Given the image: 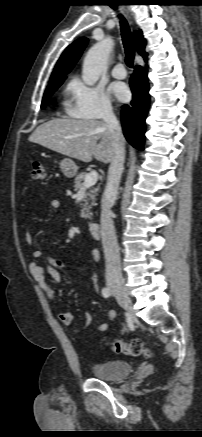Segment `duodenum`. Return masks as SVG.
I'll list each match as a JSON object with an SVG mask.
<instances>
[{"mask_svg": "<svg viewBox=\"0 0 202 437\" xmlns=\"http://www.w3.org/2000/svg\"><path fill=\"white\" fill-rule=\"evenodd\" d=\"M100 224L98 222H92L88 226V230L92 238L98 239L100 237Z\"/></svg>", "mask_w": 202, "mask_h": 437, "instance_id": "obj_1", "label": "duodenum"}]
</instances>
